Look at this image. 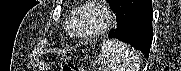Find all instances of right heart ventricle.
<instances>
[{"instance_id":"right-heart-ventricle-1","label":"right heart ventricle","mask_w":181,"mask_h":71,"mask_svg":"<svg viewBox=\"0 0 181 71\" xmlns=\"http://www.w3.org/2000/svg\"><path fill=\"white\" fill-rule=\"evenodd\" d=\"M74 12H75V10L72 11V14H71V16H70V18H69L68 25H70V22H71V20H72V17H73ZM68 32H69V34H70L69 26H68Z\"/></svg>"}]
</instances>
